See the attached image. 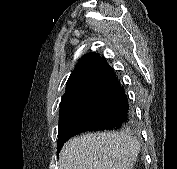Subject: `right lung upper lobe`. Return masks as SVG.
I'll use <instances>...</instances> for the list:
<instances>
[{
  "mask_svg": "<svg viewBox=\"0 0 177 169\" xmlns=\"http://www.w3.org/2000/svg\"><path fill=\"white\" fill-rule=\"evenodd\" d=\"M106 65V61L98 54L89 53L85 55L71 73L62 99L70 97L85 88L87 81Z\"/></svg>",
  "mask_w": 177,
  "mask_h": 169,
  "instance_id": "right-lung-upper-lobe-1",
  "label": "right lung upper lobe"
}]
</instances>
